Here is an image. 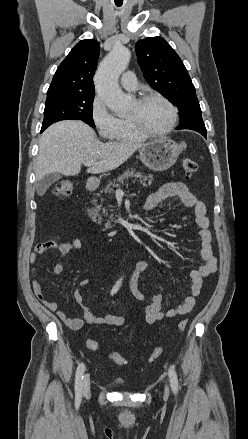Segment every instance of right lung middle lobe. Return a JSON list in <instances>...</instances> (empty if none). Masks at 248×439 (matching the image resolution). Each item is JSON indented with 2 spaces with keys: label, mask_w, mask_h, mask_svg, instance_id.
<instances>
[{
  "label": "right lung middle lobe",
  "mask_w": 248,
  "mask_h": 439,
  "mask_svg": "<svg viewBox=\"0 0 248 439\" xmlns=\"http://www.w3.org/2000/svg\"><path fill=\"white\" fill-rule=\"evenodd\" d=\"M93 101V92L61 93L47 96L42 127L47 128L52 123L61 120L75 119L94 128Z\"/></svg>",
  "instance_id": "right-lung-middle-lobe-1"
}]
</instances>
